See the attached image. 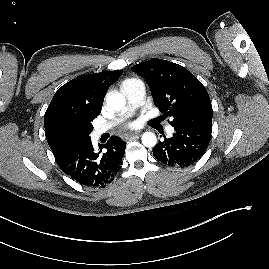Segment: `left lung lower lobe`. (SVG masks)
Returning <instances> with one entry per match:
<instances>
[{"instance_id": "obj_1", "label": "left lung lower lobe", "mask_w": 269, "mask_h": 269, "mask_svg": "<svg viewBox=\"0 0 269 269\" xmlns=\"http://www.w3.org/2000/svg\"><path fill=\"white\" fill-rule=\"evenodd\" d=\"M171 138L153 149V156L160 162L178 168L195 164L205 153L211 139L212 126L193 125L175 127Z\"/></svg>"}]
</instances>
